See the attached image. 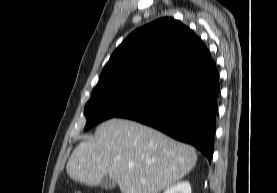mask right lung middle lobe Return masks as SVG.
I'll use <instances>...</instances> for the list:
<instances>
[{
	"label": "right lung middle lobe",
	"mask_w": 277,
	"mask_h": 193,
	"mask_svg": "<svg viewBox=\"0 0 277 193\" xmlns=\"http://www.w3.org/2000/svg\"><path fill=\"white\" fill-rule=\"evenodd\" d=\"M157 89L124 86L111 89L95 90L85 106L87 123L85 130L112 117H117L136 106Z\"/></svg>",
	"instance_id": "right-lung-middle-lobe-1"
}]
</instances>
